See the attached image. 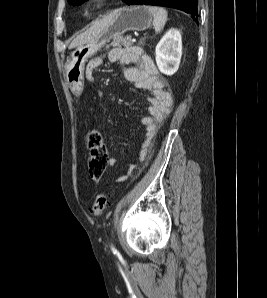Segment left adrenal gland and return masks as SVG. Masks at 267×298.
I'll use <instances>...</instances> for the list:
<instances>
[{"mask_svg": "<svg viewBox=\"0 0 267 298\" xmlns=\"http://www.w3.org/2000/svg\"><path fill=\"white\" fill-rule=\"evenodd\" d=\"M145 40V38H143L142 40H141V42H140V44H142V42Z\"/></svg>", "mask_w": 267, "mask_h": 298, "instance_id": "a2214340", "label": "left adrenal gland"}]
</instances>
